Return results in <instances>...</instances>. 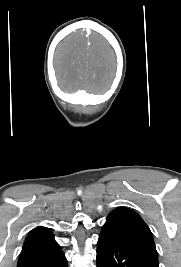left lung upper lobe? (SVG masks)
I'll return each mask as SVG.
<instances>
[{
	"label": "left lung upper lobe",
	"mask_w": 181,
	"mask_h": 267,
	"mask_svg": "<svg viewBox=\"0 0 181 267\" xmlns=\"http://www.w3.org/2000/svg\"><path fill=\"white\" fill-rule=\"evenodd\" d=\"M104 226L115 227L144 241L155 248L152 233L140 216L129 208H118L112 211Z\"/></svg>",
	"instance_id": "5c2ea615"
}]
</instances>
